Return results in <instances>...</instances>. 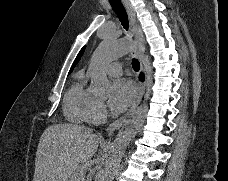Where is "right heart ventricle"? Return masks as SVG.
I'll return each mask as SVG.
<instances>
[{
	"instance_id": "e07e8e85",
	"label": "right heart ventricle",
	"mask_w": 228,
	"mask_h": 181,
	"mask_svg": "<svg viewBox=\"0 0 228 181\" xmlns=\"http://www.w3.org/2000/svg\"><path fill=\"white\" fill-rule=\"evenodd\" d=\"M91 67L87 70H80L74 74V82L65 98V114L76 122L89 120L91 108L95 101V94L89 80H94V73Z\"/></svg>"
}]
</instances>
